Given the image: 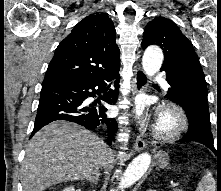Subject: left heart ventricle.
<instances>
[{
  "label": "left heart ventricle",
  "instance_id": "left-heart-ventricle-1",
  "mask_svg": "<svg viewBox=\"0 0 221 191\" xmlns=\"http://www.w3.org/2000/svg\"><path fill=\"white\" fill-rule=\"evenodd\" d=\"M167 123H168V121H167L166 119H163V120H162V124H163V125H166Z\"/></svg>",
  "mask_w": 221,
  "mask_h": 191
}]
</instances>
